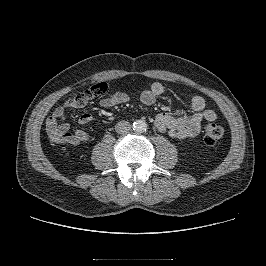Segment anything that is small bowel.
Segmentation results:
<instances>
[{"label":"small bowel","instance_id":"small-bowel-1","mask_svg":"<svg viewBox=\"0 0 266 266\" xmlns=\"http://www.w3.org/2000/svg\"><path fill=\"white\" fill-rule=\"evenodd\" d=\"M166 93L165 87L159 83H153L149 88L140 94V100L145 105L153 104L157 98ZM92 98L86 95L75 94L68 97L62 105L56 107L46 120V133L54 144L79 145L90 140V135L83 130L70 132V124L67 121L68 110H79L78 123L85 125L93 120L90 112L85 107ZM129 100L128 94L124 92H113L99 101L104 108L113 107L126 103ZM191 109L190 114L178 117L167 113H160L156 116L154 125L162 133L168 134L176 140H188L196 137L201 130L203 121H214L217 119V112L207 108L205 100L201 96H193L187 102Z\"/></svg>","mask_w":266,"mask_h":266}]
</instances>
